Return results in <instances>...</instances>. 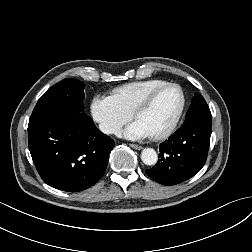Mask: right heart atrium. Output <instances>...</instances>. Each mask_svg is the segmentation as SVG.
<instances>
[{"label":"right heart atrium","mask_w":252,"mask_h":252,"mask_svg":"<svg viewBox=\"0 0 252 252\" xmlns=\"http://www.w3.org/2000/svg\"><path fill=\"white\" fill-rule=\"evenodd\" d=\"M90 113L100 130L106 134H117L132 118V113L121 107L111 96L100 94L92 97Z\"/></svg>","instance_id":"1"}]
</instances>
